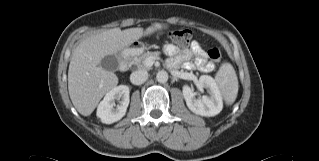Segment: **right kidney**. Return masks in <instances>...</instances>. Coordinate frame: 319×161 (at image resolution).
Instances as JSON below:
<instances>
[{"label": "right kidney", "instance_id": "ca27d5eb", "mask_svg": "<svg viewBox=\"0 0 319 161\" xmlns=\"http://www.w3.org/2000/svg\"><path fill=\"white\" fill-rule=\"evenodd\" d=\"M129 87L119 85L111 89L99 103L97 117L102 123L111 124L119 121L125 114L129 105ZM118 101L116 106L115 102Z\"/></svg>", "mask_w": 319, "mask_h": 161}]
</instances>
